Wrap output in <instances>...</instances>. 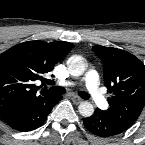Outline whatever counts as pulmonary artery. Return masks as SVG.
Masks as SVG:
<instances>
[{"instance_id":"obj_1","label":"pulmonary artery","mask_w":145,"mask_h":145,"mask_svg":"<svg viewBox=\"0 0 145 145\" xmlns=\"http://www.w3.org/2000/svg\"><path fill=\"white\" fill-rule=\"evenodd\" d=\"M86 83L87 91L94 101L100 107H105L107 105V99L104 92L99 87V75L95 70H89L84 79ZM62 86L71 87L76 85L74 81H61L59 83Z\"/></svg>"}]
</instances>
